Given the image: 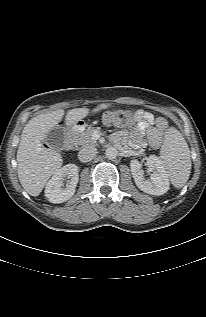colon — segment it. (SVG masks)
<instances>
[{"instance_id": "obj_1", "label": "colon", "mask_w": 206, "mask_h": 317, "mask_svg": "<svg viewBox=\"0 0 206 317\" xmlns=\"http://www.w3.org/2000/svg\"><path fill=\"white\" fill-rule=\"evenodd\" d=\"M134 115L129 110H110L103 114V122L110 127L122 128L128 126Z\"/></svg>"}]
</instances>
